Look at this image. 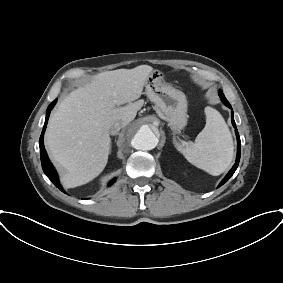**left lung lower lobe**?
I'll use <instances>...</instances> for the list:
<instances>
[{
	"label": "left lung lower lobe",
	"instance_id": "obj_1",
	"mask_svg": "<svg viewBox=\"0 0 283 283\" xmlns=\"http://www.w3.org/2000/svg\"><path fill=\"white\" fill-rule=\"evenodd\" d=\"M219 96L221 98V101L226 105L228 106L229 108H231V105L230 103L227 101V99L225 98L224 94L223 93H219ZM231 120H232V124L235 128V133H236V137H237V141H238V144H237V157H236V162L234 164V166L232 167V169L229 171V173L225 176V178L220 182L219 186H222L224 183H226L230 177L234 174V172L236 171L237 167H238V164H239V160H240V153H241V143H240V137H239V134H238V131H237V128H236V125H235V121L233 119V111H231Z\"/></svg>",
	"mask_w": 283,
	"mask_h": 283
}]
</instances>
